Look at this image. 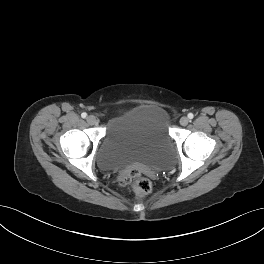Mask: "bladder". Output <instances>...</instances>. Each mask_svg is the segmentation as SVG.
<instances>
[{
    "instance_id": "obj_1",
    "label": "bladder",
    "mask_w": 264,
    "mask_h": 264,
    "mask_svg": "<svg viewBox=\"0 0 264 264\" xmlns=\"http://www.w3.org/2000/svg\"><path fill=\"white\" fill-rule=\"evenodd\" d=\"M96 158L102 171L134 165L155 169L167 166L173 159V144L166 112L155 106L130 110L109 127Z\"/></svg>"
}]
</instances>
